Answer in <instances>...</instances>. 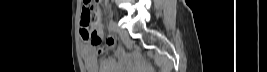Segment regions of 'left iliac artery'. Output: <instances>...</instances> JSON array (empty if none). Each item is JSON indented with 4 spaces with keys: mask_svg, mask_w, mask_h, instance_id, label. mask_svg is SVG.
Returning a JSON list of instances; mask_svg holds the SVG:
<instances>
[{
    "mask_svg": "<svg viewBox=\"0 0 267 72\" xmlns=\"http://www.w3.org/2000/svg\"><path fill=\"white\" fill-rule=\"evenodd\" d=\"M109 28H110V30H112V31H117V24L114 22V21H110L109 22Z\"/></svg>",
    "mask_w": 267,
    "mask_h": 72,
    "instance_id": "obj_1",
    "label": "left iliac artery"
}]
</instances>
